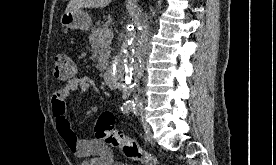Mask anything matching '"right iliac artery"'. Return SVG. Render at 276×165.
<instances>
[{"label":"right iliac artery","mask_w":276,"mask_h":165,"mask_svg":"<svg viewBox=\"0 0 276 165\" xmlns=\"http://www.w3.org/2000/svg\"><path fill=\"white\" fill-rule=\"evenodd\" d=\"M135 103L133 101H126L123 106L121 107V111L124 113V114H129L133 111H135Z\"/></svg>","instance_id":"1"}]
</instances>
